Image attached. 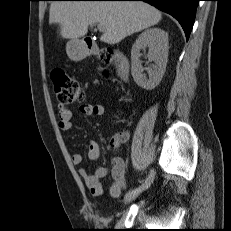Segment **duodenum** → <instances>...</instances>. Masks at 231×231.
<instances>
[{
  "instance_id": "1",
  "label": "duodenum",
  "mask_w": 231,
  "mask_h": 231,
  "mask_svg": "<svg viewBox=\"0 0 231 231\" xmlns=\"http://www.w3.org/2000/svg\"><path fill=\"white\" fill-rule=\"evenodd\" d=\"M80 51L86 55H96L98 53V48L91 39L85 38L81 43ZM113 60L117 63V71L119 76L121 78H126L128 74V65L124 61L121 53L115 52L113 54Z\"/></svg>"
}]
</instances>
